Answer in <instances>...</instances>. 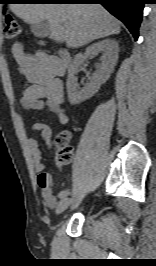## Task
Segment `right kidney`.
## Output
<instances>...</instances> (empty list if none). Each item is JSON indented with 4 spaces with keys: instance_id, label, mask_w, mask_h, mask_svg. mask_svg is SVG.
<instances>
[{
    "instance_id": "ca27d5eb",
    "label": "right kidney",
    "mask_w": 156,
    "mask_h": 266,
    "mask_svg": "<svg viewBox=\"0 0 156 266\" xmlns=\"http://www.w3.org/2000/svg\"><path fill=\"white\" fill-rule=\"evenodd\" d=\"M99 53H102V64L93 73L90 82L82 90H79L75 77L79 67L87 58H93ZM118 53L119 46L117 41L114 39H104L87 47L85 53H78L75 55L73 62L69 66L66 82L70 104H79L98 92L101 85L104 84L113 73L118 60Z\"/></svg>"
}]
</instances>
